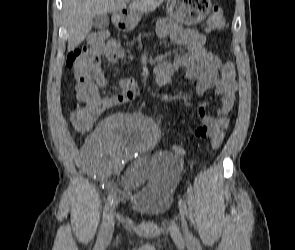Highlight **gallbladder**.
<instances>
[{
  "label": "gallbladder",
  "instance_id": "obj_1",
  "mask_svg": "<svg viewBox=\"0 0 295 250\" xmlns=\"http://www.w3.org/2000/svg\"><path fill=\"white\" fill-rule=\"evenodd\" d=\"M109 25V17L107 14H99L96 15L93 19V26L96 29H105L107 28Z\"/></svg>",
  "mask_w": 295,
  "mask_h": 250
}]
</instances>
